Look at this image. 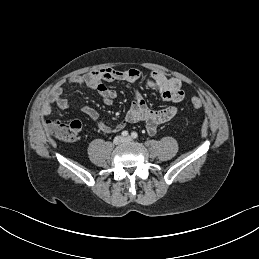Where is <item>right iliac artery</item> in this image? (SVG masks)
<instances>
[{
    "label": "right iliac artery",
    "instance_id": "1",
    "mask_svg": "<svg viewBox=\"0 0 259 259\" xmlns=\"http://www.w3.org/2000/svg\"><path fill=\"white\" fill-rule=\"evenodd\" d=\"M121 134H122V136H128V132L127 131H123Z\"/></svg>",
    "mask_w": 259,
    "mask_h": 259
}]
</instances>
